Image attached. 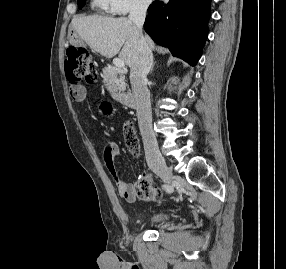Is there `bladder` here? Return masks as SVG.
I'll return each mask as SVG.
<instances>
[{"mask_svg":"<svg viewBox=\"0 0 286 269\" xmlns=\"http://www.w3.org/2000/svg\"><path fill=\"white\" fill-rule=\"evenodd\" d=\"M172 214L168 211H159L150 215L147 223L150 225H162L172 220Z\"/></svg>","mask_w":286,"mask_h":269,"instance_id":"bladder-1","label":"bladder"}]
</instances>
